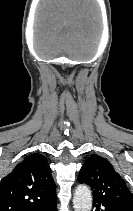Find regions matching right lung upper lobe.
I'll use <instances>...</instances> for the list:
<instances>
[{
  "label": "right lung upper lobe",
  "mask_w": 133,
  "mask_h": 211,
  "mask_svg": "<svg viewBox=\"0 0 133 211\" xmlns=\"http://www.w3.org/2000/svg\"><path fill=\"white\" fill-rule=\"evenodd\" d=\"M55 195V183L45 157L31 154L1 181L0 211H36Z\"/></svg>",
  "instance_id": "1"
}]
</instances>
